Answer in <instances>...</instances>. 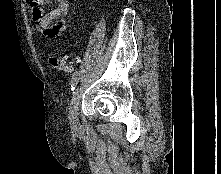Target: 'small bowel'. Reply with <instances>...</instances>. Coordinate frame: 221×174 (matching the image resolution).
<instances>
[{
  "mask_svg": "<svg viewBox=\"0 0 221 174\" xmlns=\"http://www.w3.org/2000/svg\"><path fill=\"white\" fill-rule=\"evenodd\" d=\"M31 5V16L36 27L47 38H55L67 27L66 16L70 11L68 0H54L56 6L45 13L42 7L48 0H27Z\"/></svg>",
  "mask_w": 221,
  "mask_h": 174,
  "instance_id": "small-bowel-1",
  "label": "small bowel"
}]
</instances>
